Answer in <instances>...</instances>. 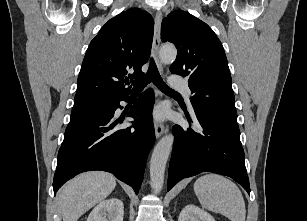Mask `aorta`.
I'll list each match as a JSON object with an SVG mask.
<instances>
[{"instance_id": "aorta-1", "label": "aorta", "mask_w": 307, "mask_h": 221, "mask_svg": "<svg viewBox=\"0 0 307 221\" xmlns=\"http://www.w3.org/2000/svg\"><path fill=\"white\" fill-rule=\"evenodd\" d=\"M177 56V50L173 45H166L160 49V58L164 63H172ZM174 143V136H163L156 144L150 160L151 187L155 193L162 190L166 163Z\"/></svg>"}]
</instances>
